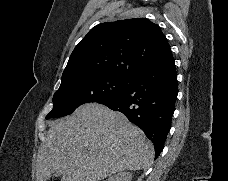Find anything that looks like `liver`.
Returning a JSON list of instances; mask_svg holds the SVG:
<instances>
[{
  "mask_svg": "<svg viewBox=\"0 0 228 181\" xmlns=\"http://www.w3.org/2000/svg\"><path fill=\"white\" fill-rule=\"evenodd\" d=\"M39 149L36 181L61 173L62 181H102L121 171H139L154 159V147L139 127L98 103L49 123Z\"/></svg>",
  "mask_w": 228,
  "mask_h": 181,
  "instance_id": "1",
  "label": "liver"
}]
</instances>
